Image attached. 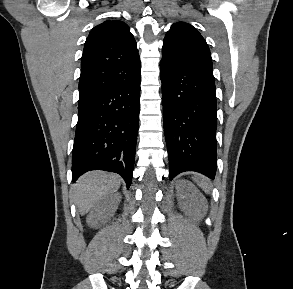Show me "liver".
I'll return each mask as SVG.
<instances>
[{
	"instance_id": "6515ba94",
	"label": "liver",
	"mask_w": 293,
	"mask_h": 289,
	"mask_svg": "<svg viewBox=\"0 0 293 289\" xmlns=\"http://www.w3.org/2000/svg\"><path fill=\"white\" fill-rule=\"evenodd\" d=\"M120 185V176L112 173L92 171L81 176L72 186L73 199L80 214H86L101 198L116 192Z\"/></svg>"
}]
</instances>
